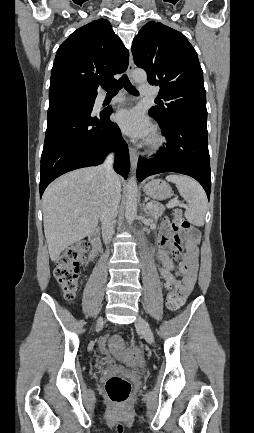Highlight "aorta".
Masks as SVG:
<instances>
[{
	"label": "aorta",
	"instance_id": "762f6f07",
	"mask_svg": "<svg viewBox=\"0 0 254 433\" xmlns=\"http://www.w3.org/2000/svg\"><path fill=\"white\" fill-rule=\"evenodd\" d=\"M132 79L136 83H143L147 80V74L144 70L137 69L132 73ZM137 182L136 177L132 176L128 180L126 203H125V218L131 224L137 215Z\"/></svg>",
	"mask_w": 254,
	"mask_h": 433
}]
</instances>
